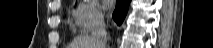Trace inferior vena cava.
Wrapping results in <instances>:
<instances>
[{
    "instance_id": "1",
    "label": "inferior vena cava",
    "mask_w": 213,
    "mask_h": 48,
    "mask_svg": "<svg viewBox=\"0 0 213 48\" xmlns=\"http://www.w3.org/2000/svg\"><path fill=\"white\" fill-rule=\"evenodd\" d=\"M91 39L94 41L96 48L106 47L107 32L105 29L104 15L100 12L95 14L91 31Z\"/></svg>"
}]
</instances>
